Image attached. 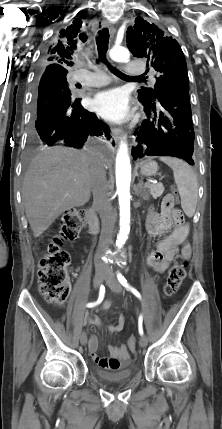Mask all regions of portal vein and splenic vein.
Wrapping results in <instances>:
<instances>
[{
  "mask_svg": "<svg viewBox=\"0 0 222 429\" xmlns=\"http://www.w3.org/2000/svg\"><path fill=\"white\" fill-rule=\"evenodd\" d=\"M150 184V182H147L146 185Z\"/></svg>",
  "mask_w": 222,
  "mask_h": 429,
  "instance_id": "18ae733b",
  "label": "portal vein and splenic vein"
}]
</instances>
